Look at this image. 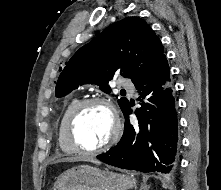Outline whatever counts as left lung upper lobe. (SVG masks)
Segmentation results:
<instances>
[{"instance_id": "obj_1", "label": "left lung upper lobe", "mask_w": 221, "mask_h": 190, "mask_svg": "<svg viewBox=\"0 0 221 190\" xmlns=\"http://www.w3.org/2000/svg\"><path fill=\"white\" fill-rule=\"evenodd\" d=\"M163 56L162 43L149 25L141 18L126 17L107 27L65 63L56 84V97L87 83L99 85L102 91L110 93L108 83L115 75L135 83ZM118 104L124 112L129 101L120 98Z\"/></svg>"}]
</instances>
